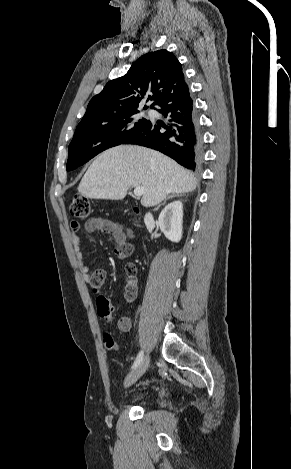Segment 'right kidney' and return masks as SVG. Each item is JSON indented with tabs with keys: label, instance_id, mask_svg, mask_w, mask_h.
<instances>
[{
	"label": "right kidney",
	"instance_id": "ca27d5eb",
	"mask_svg": "<svg viewBox=\"0 0 291 469\" xmlns=\"http://www.w3.org/2000/svg\"><path fill=\"white\" fill-rule=\"evenodd\" d=\"M160 230L172 242H179L182 238L183 204L174 201L168 204L158 218Z\"/></svg>",
	"mask_w": 291,
	"mask_h": 469
}]
</instances>
